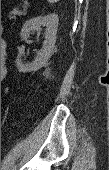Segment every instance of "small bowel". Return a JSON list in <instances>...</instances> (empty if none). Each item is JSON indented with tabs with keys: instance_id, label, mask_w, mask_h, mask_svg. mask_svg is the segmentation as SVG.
Wrapping results in <instances>:
<instances>
[{
	"instance_id": "c3829d8e",
	"label": "small bowel",
	"mask_w": 109,
	"mask_h": 170,
	"mask_svg": "<svg viewBox=\"0 0 109 170\" xmlns=\"http://www.w3.org/2000/svg\"><path fill=\"white\" fill-rule=\"evenodd\" d=\"M1 45H2L3 47H5L6 44H5V42H1Z\"/></svg>"
}]
</instances>
